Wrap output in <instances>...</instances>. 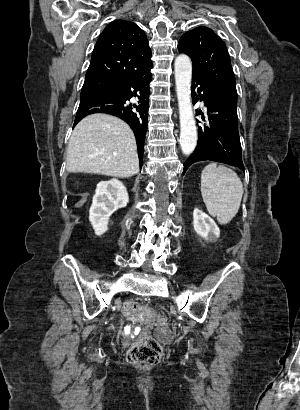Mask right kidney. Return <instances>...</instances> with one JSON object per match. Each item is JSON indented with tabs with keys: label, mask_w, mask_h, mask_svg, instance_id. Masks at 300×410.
<instances>
[{
	"label": "right kidney",
	"mask_w": 300,
	"mask_h": 410,
	"mask_svg": "<svg viewBox=\"0 0 300 410\" xmlns=\"http://www.w3.org/2000/svg\"><path fill=\"white\" fill-rule=\"evenodd\" d=\"M128 192L117 179L101 181L97 184L89 210V221L95 234L100 236L108 230L109 217L118 209L127 206Z\"/></svg>",
	"instance_id": "right-kidney-1"
}]
</instances>
